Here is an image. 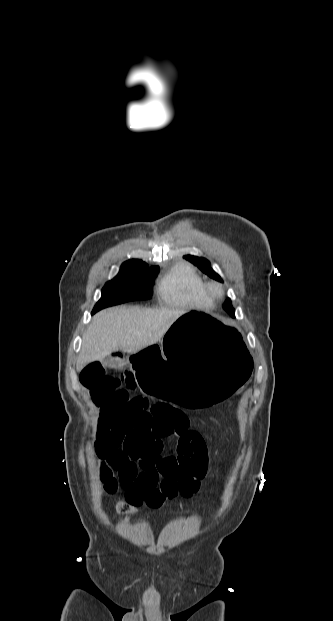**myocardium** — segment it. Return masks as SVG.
<instances>
[{
	"label": "myocardium",
	"mask_w": 333,
	"mask_h": 621,
	"mask_svg": "<svg viewBox=\"0 0 333 621\" xmlns=\"http://www.w3.org/2000/svg\"><path fill=\"white\" fill-rule=\"evenodd\" d=\"M207 291L212 300H217L223 297L224 295V286L218 281H212L207 284Z\"/></svg>",
	"instance_id": "obj_1"
}]
</instances>
